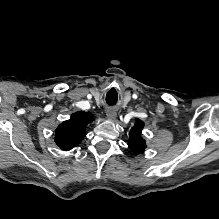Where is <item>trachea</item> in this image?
I'll return each instance as SVG.
<instances>
[{
    "instance_id": "obj_1",
    "label": "trachea",
    "mask_w": 219,
    "mask_h": 219,
    "mask_svg": "<svg viewBox=\"0 0 219 219\" xmlns=\"http://www.w3.org/2000/svg\"><path fill=\"white\" fill-rule=\"evenodd\" d=\"M106 102H107L108 105H115L116 102H117V98L114 99V100H109V99L106 98Z\"/></svg>"
}]
</instances>
